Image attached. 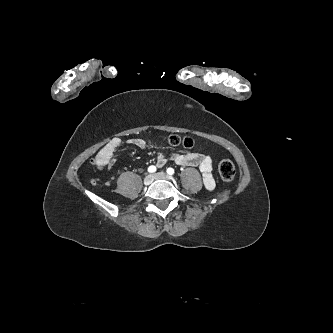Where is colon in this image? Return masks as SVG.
<instances>
[{
	"label": "colon",
	"instance_id": "obj_1",
	"mask_svg": "<svg viewBox=\"0 0 333 333\" xmlns=\"http://www.w3.org/2000/svg\"><path fill=\"white\" fill-rule=\"evenodd\" d=\"M167 142L173 146H183L184 148H194L196 141L189 136L170 135L167 138ZM220 177L225 182H231L236 174L235 166L229 159H223L220 161L218 166Z\"/></svg>",
	"mask_w": 333,
	"mask_h": 333
}]
</instances>
